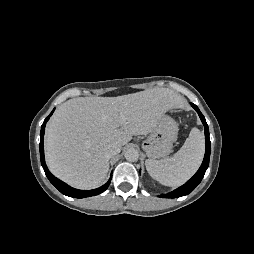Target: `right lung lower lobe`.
<instances>
[{
	"mask_svg": "<svg viewBox=\"0 0 254 254\" xmlns=\"http://www.w3.org/2000/svg\"><path fill=\"white\" fill-rule=\"evenodd\" d=\"M54 110L51 112V114L44 120V123L41 126V132H40V159H41V165L45 171V174L49 181L64 195L69 196V197H74V198H85V197H90V196H95L98 195L102 192H104L110 182L111 178L109 181L104 184L103 186L93 189V190H78L75 188L70 187L66 183L62 182L61 180L57 179L54 175L50 173L48 170L46 163H45V158H44V147H43V139H44V132H45V125L46 122L48 121L49 117L52 115Z\"/></svg>",
	"mask_w": 254,
	"mask_h": 254,
	"instance_id": "obj_1",
	"label": "right lung lower lobe"
}]
</instances>
